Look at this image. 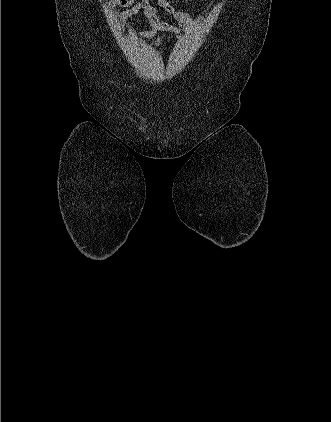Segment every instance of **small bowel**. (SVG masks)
<instances>
[{"label": "small bowel", "instance_id": "1", "mask_svg": "<svg viewBox=\"0 0 331 422\" xmlns=\"http://www.w3.org/2000/svg\"><path fill=\"white\" fill-rule=\"evenodd\" d=\"M190 1L195 2L196 0ZM157 4L177 21L178 26L162 21L158 16L157 9L151 5L150 0H108L107 7L109 9L126 8L119 15L120 25H123L128 18L138 13H142L146 17L150 29L139 32L135 36L136 39L152 38L159 32L175 36L179 34L181 29L190 30L192 28V18L188 13L175 10L168 0H157ZM165 43V39H158L154 46L161 47Z\"/></svg>", "mask_w": 331, "mask_h": 422}]
</instances>
